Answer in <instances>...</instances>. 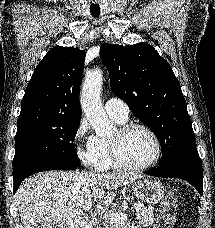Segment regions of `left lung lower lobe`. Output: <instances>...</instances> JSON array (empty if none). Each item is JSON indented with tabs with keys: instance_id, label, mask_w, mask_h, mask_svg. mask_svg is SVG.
<instances>
[{
	"instance_id": "0a47b994",
	"label": "left lung lower lobe",
	"mask_w": 215,
	"mask_h": 228,
	"mask_svg": "<svg viewBox=\"0 0 215 228\" xmlns=\"http://www.w3.org/2000/svg\"><path fill=\"white\" fill-rule=\"evenodd\" d=\"M143 173L156 177H174L186 180L197 189L200 195L203 194V170L196 147L179 153L157 168Z\"/></svg>"
}]
</instances>
